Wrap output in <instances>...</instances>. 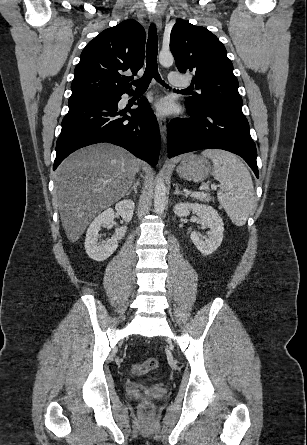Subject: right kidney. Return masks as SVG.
<instances>
[{
  "instance_id": "obj_1",
  "label": "right kidney",
  "mask_w": 307,
  "mask_h": 445,
  "mask_svg": "<svg viewBox=\"0 0 307 445\" xmlns=\"http://www.w3.org/2000/svg\"><path fill=\"white\" fill-rule=\"evenodd\" d=\"M117 212L124 218L125 223H130V220L134 212L133 200H120L115 204ZM115 212L113 208H107L101 214H98L91 223L89 229H87V235L85 239V251L93 261H106L110 255H113L118 247V241L125 237L127 227H120L116 229L114 237L108 239L107 243H99V231L101 227H110L113 223Z\"/></svg>"
}]
</instances>
